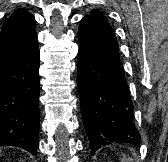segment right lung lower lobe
I'll list each match as a JSON object with an SVG mask.
<instances>
[{
	"mask_svg": "<svg viewBox=\"0 0 168 162\" xmlns=\"http://www.w3.org/2000/svg\"><path fill=\"white\" fill-rule=\"evenodd\" d=\"M39 48L0 65V145L35 155L39 129Z\"/></svg>",
	"mask_w": 168,
	"mask_h": 162,
	"instance_id": "98d812e1",
	"label": "right lung lower lobe"
}]
</instances>
